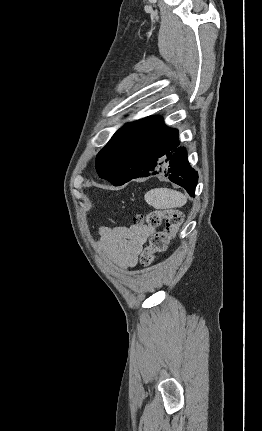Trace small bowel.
Returning <instances> with one entry per match:
<instances>
[{
  "mask_svg": "<svg viewBox=\"0 0 262 431\" xmlns=\"http://www.w3.org/2000/svg\"><path fill=\"white\" fill-rule=\"evenodd\" d=\"M148 226L132 225L109 228H99L100 239L98 251L107 262L115 261L124 269L136 266L143 245L153 233Z\"/></svg>",
  "mask_w": 262,
  "mask_h": 431,
  "instance_id": "obj_1",
  "label": "small bowel"
}]
</instances>
